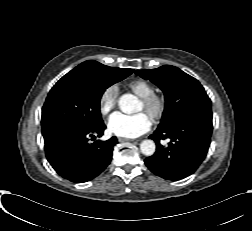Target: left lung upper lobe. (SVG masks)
Segmentation results:
<instances>
[{"label": "left lung upper lobe", "instance_id": "left-lung-upper-lobe-1", "mask_svg": "<svg viewBox=\"0 0 252 231\" xmlns=\"http://www.w3.org/2000/svg\"><path fill=\"white\" fill-rule=\"evenodd\" d=\"M136 74L156 84L165 95V109L157 130L192 113L211 112V101L198 80L177 67L164 65L157 69L137 71Z\"/></svg>", "mask_w": 252, "mask_h": 231}]
</instances>
